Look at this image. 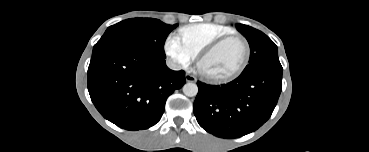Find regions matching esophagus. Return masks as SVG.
I'll use <instances>...</instances> for the list:
<instances>
[{
    "label": "esophagus",
    "instance_id": "esophagus-1",
    "mask_svg": "<svg viewBox=\"0 0 369 152\" xmlns=\"http://www.w3.org/2000/svg\"><path fill=\"white\" fill-rule=\"evenodd\" d=\"M185 79H186L187 82H196V80H197L196 77L191 75V74H186Z\"/></svg>",
    "mask_w": 369,
    "mask_h": 152
}]
</instances>
